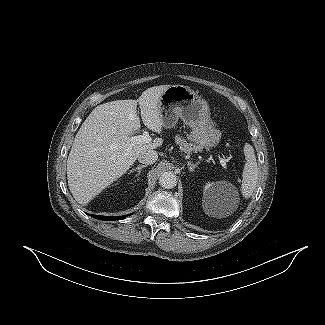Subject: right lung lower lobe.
<instances>
[{
    "instance_id": "1",
    "label": "right lung lower lobe",
    "mask_w": 325,
    "mask_h": 325,
    "mask_svg": "<svg viewBox=\"0 0 325 325\" xmlns=\"http://www.w3.org/2000/svg\"><path fill=\"white\" fill-rule=\"evenodd\" d=\"M91 216L94 217V218H96V219H100V220L112 221V220H121V219H124L128 215H123V216H98V215H91Z\"/></svg>"
}]
</instances>
